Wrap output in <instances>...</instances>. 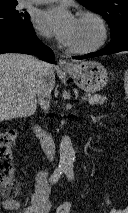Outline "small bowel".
<instances>
[{"label": "small bowel", "instance_id": "small-bowel-1", "mask_svg": "<svg viewBox=\"0 0 128 213\" xmlns=\"http://www.w3.org/2000/svg\"><path fill=\"white\" fill-rule=\"evenodd\" d=\"M3 207L10 212H16L19 210L20 204L15 200H8L3 202ZM51 208L52 202L50 200V186L47 180V172L40 171L36 176L35 193L25 213H49Z\"/></svg>", "mask_w": 128, "mask_h": 213}]
</instances>
